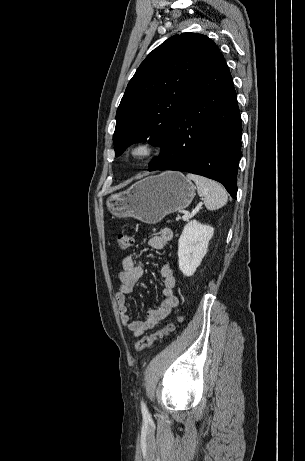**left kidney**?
<instances>
[{
	"label": "left kidney",
	"mask_w": 305,
	"mask_h": 461,
	"mask_svg": "<svg viewBox=\"0 0 305 461\" xmlns=\"http://www.w3.org/2000/svg\"><path fill=\"white\" fill-rule=\"evenodd\" d=\"M214 228L193 220L186 224L178 241V264L187 277L192 276L207 253Z\"/></svg>",
	"instance_id": "1"
}]
</instances>
